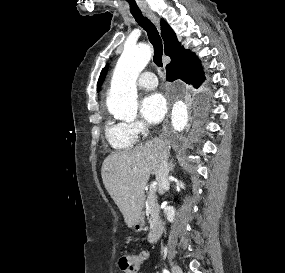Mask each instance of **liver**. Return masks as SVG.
<instances>
[{
    "label": "liver",
    "instance_id": "obj_1",
    "mask_svg": "<svg viewBox=\"0 0 285 273\" xmlns=\"http://www.w3.org/2000/svg\"><path fill=\"white\" fill-rule=\"evenodd\" d=\"M168 155V142L154 140L105 158L101 168L103 184L128 227L140 219L146 183L151 174L157 176L162 159Z\"/></svg>",
    "mask_w": 285,
    "mask_h": 273
}]
</instances>
